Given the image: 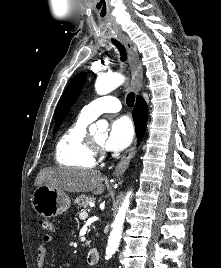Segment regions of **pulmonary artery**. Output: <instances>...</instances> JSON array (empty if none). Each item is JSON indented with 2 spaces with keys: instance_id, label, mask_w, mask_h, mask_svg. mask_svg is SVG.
Wrapping results in <instances>:
<instances>
[{
  "instance_id": "pulmonary-artery-1",
  "label": "pulmonary artery",
  "mask_w": 221,
  "mask_h": 268,
  "mask_svg": "<svg viewBox=\"0 0 221 268\" xmlns=\"http://www.w3.org/2000/svg\"><path fill=\"white\" fill-rule=\"evenodd\" d=\"M121 109V103L118 98L107 95L100 97L86 105L81 113L90 120L96 119L103 113H115Z\"/></svg>"
}]
</instances>
